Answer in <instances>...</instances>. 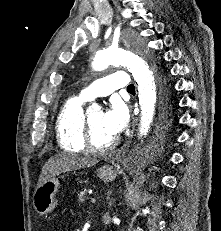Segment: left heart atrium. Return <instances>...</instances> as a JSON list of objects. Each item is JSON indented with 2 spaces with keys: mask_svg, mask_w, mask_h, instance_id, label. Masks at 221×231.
Instances as JSON below:
<instances>
[{
  "mask_svg": "<svg viewBox=\"0 0 221 231\" xmlns=\"http://www.w3.org/2000/svg\"><path fill=\"white\" fill-rule=\"evenodd\" d=\"M127 121V113L119 104H114L103 113V126L113 136L119 135L125 129Z\"/></svg>",
  "mask_w": 221,
  "mask_h": 231,
  "instance_id": "1",
  "label": "left heart atrium"
}]
</instances>
